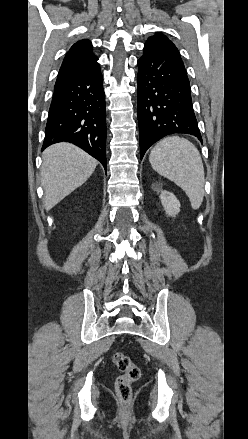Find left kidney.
<instances>
[{"mask_svg": "<svg viewBox=\"0 0 248 439\" xmlns=\"http://www.w3.org/2000/svg\"><path fill=\"white\" fill-rule=\"evenodd\" d=\"M159 197L166 214L175 217L180 211V202L176 196L171 192L162 190Z\"/></svg>", "mask_w": 248, "mask_h": 439, "instance_id": "5707ae66", "label": "left kidney"}]
</instances>
